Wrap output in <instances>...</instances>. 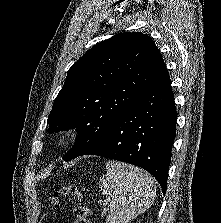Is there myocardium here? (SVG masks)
Returning a JSON list of instances; mask_svg holds the SVG:
<instances>
[{"mask_svg": "<svg viewBox=\"0 0 221 223\" xmlns=\"http://www.w3.org/2000/svg\"><path fill=\"white\" fill-rule=\"evenodd\" d=\"M61 139L66 143H74L82 137V128L79 124H67L60 132Z\"/></svg>", "mask_w": 221, "mask_h": 223, "instance_id": "obj_1", "label": "myocardium"}]
</instances>
